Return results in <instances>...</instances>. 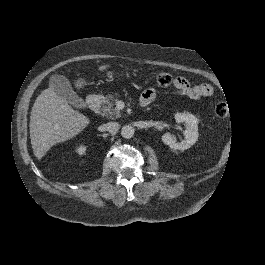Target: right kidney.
I'll use <instances>...</instances> for the list:
<instances>
[{
    "instance_id": "obj_1",
    "label": "right kidney",
    "mask_w": 265,
    "mask_h": 265,
    "mask_svg": "<svg viewBox=\"0 0 265 265\" xmlns=\"http://www.w3.org/2000/svg\"><path fill=\"white\" fill-rule=\"evenodd\" d=\"M85 147H82V148H80V149H78V151H79V153L80 154H84L85 153Z\"/></svg>"
}]
</instances>
